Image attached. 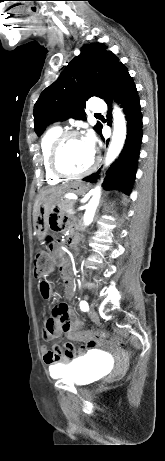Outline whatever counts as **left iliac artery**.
<instances>
[{
  "label": "left iliac artery",
  "mask_w": 165,
  "mask_h": 461,
  "mask_svg": "<svg viewBox=\"0 0 165 461\" xmlns=\"http://www.w3.org/2000/svg\"><path fill=\"white\" fill-rule=\"evenodd\" d=\"M80 308H81L82 311H88V309H89L88 303L86 301H81L80 302Z\"/></svg>",
  "instance_id": "1"
}]
</instances>
